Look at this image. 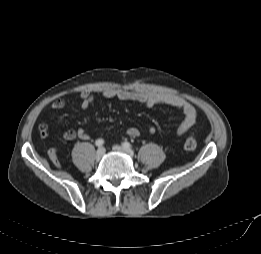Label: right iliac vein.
I'll use <instances>...</instances> for the list:
<instances>
[{"mask_svg":"<svg viewBox=\"0 0 261 254\" xmlns=\"http://www.w3.org/2000/svg\"><path fill=\"white\" fill-rule=\"evenodd\" d=\"M104 154H105V149L103 147L99 148L95 155L96 161L101 160V158L103 157Z\"/></svg>","mask_w":261,"mask_h":254,"instance_id":"1","label":"right iliac vein"}]
</instances>
